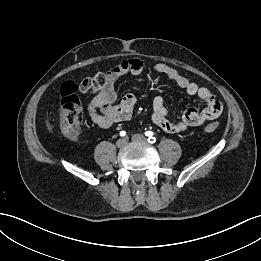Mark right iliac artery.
<instances>
[{"mask_svg":"<svg viewBox=\"0 0 261 261\" xmlns=\"http://www.w3.org/2000/svg\"><path fill=\"white\" fill-rule=\"evenodd\" d=\"M126 135V132L125 131H121L120 132V136L124 137Z\"/></svg>","mask_w":261,"mask_h":261,"instance_id":"82829eb1","label":"right iliac artery"}]
</instances>
